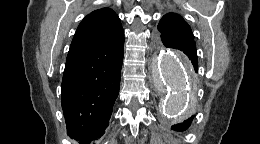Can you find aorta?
<instances>
[{"label":"aorta","mask_w":260,"mask_h":144,"mask_svg":"<svg viewBox=\"0 0 260 144\" xmlns=\"http://www.w3.org/2000/svg\"><path fill=\"white\" fill-rule=\"evenodd\" d=\"M154 84L167 91L163 107L167 115L185 111L190 96L191 66L182 54L162 49L155 55L152 64Z\"/></svg>","instance_id":"aorta-1"}]
</instances>
